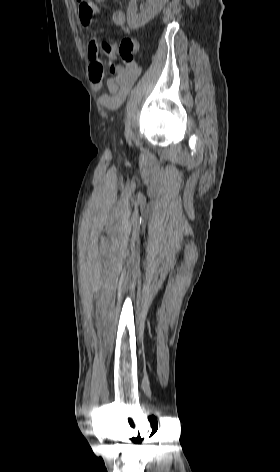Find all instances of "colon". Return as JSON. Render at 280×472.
Returning a JSON list of instances; mask_svg holds the SVG:
<instances>
[{
    "mask_svg": "<svg viewBox=\"0 0 280 472\" xmlns=\"http://www.w3.org/2000/svg\"><path fill=\"white\" fill-rule=\"evenodd\" d=\"M136 43L135 40L132 37H125L119 47H118V53L120 57L122 58L123 62L125 65H132L135 63L134 57L136 53ZM115 67L112 65L111 66V71L114 72Z\"/></svg>",
    "mask_w": 280,
    "mask_h": 472,
    "instance_id": "colon-1",
    "label": "colon"
}]
</instances>
